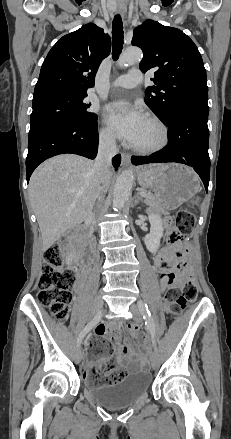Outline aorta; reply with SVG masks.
<instances>
[{
  "label": "aorta",
  "instance_id": "obj_1",
  "mask_svg": "<svg viewBox=\"0 0 231 439\" xmlns=\"http://www.w3.org/2000/svg\"><path fill=\"white\" fill-rule=\"evenodd\" d=\"M142 51L137 47H130L124 51L118 60V66H130L140 61ZM133 184V170H124L116 180L113 191V208H123Z\"/></svg>",
  "mask_w": 231,
  "mask_h": 439
}]
</instances>
